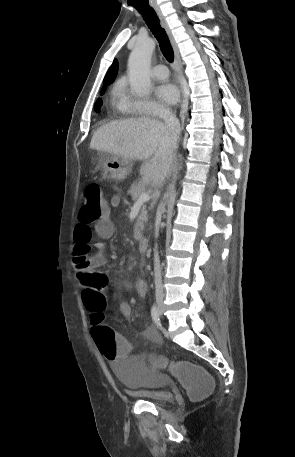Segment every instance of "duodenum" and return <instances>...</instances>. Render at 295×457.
<instances>
[{"instance_id": "1", "label": "duodenum", "mask_w": 295, "mask_h": 457, "mask_svg": "<svg viewBox=\"0 0 295 457\" xmlns=\"http://www.w3.org/2000/svg\"><path fill=\"white\" fill-rule=\"evenodd\" d=\"M148 246H149L148 238H141L139 240V249L141 252L145 253L148 249Z\"/></svg>"}]
</instances>
